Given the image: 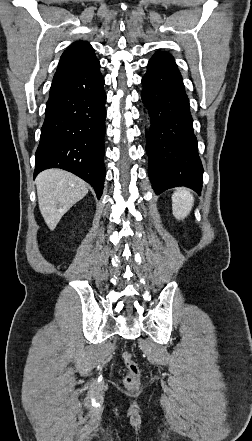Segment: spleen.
<instances>
[{
    "instance_id": "spleen-1",
    "label": "spleen",
    "mask_w": 252,
    "mask_h": 441,
    "mask_svg": "<svg viewBox=\"0 0 252 441\" xmlns=\"http://www.w3.org/2000/svg\"><path fill=\"white\" fill-rule=\"evenodd\" d=\"M194 204V198L186 188H180L172 195L173 215L178 220L188 216Z\"/></svg>"
}]
</instances>
